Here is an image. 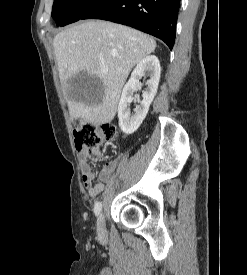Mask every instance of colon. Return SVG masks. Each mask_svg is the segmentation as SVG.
Masks as SVG:
<instances>
[{
  "label": "colon",
  "instance_id": "5ec220e1",
  "mask_svg": "<svg viewBox=\"0 0 247 275\" xmlns=\"http://www.w3.org/2000/svg\"><path fill=\"white\" fill-rule=\"evenodd\" d=\"M116 137L117 129L112 124L83 123L74 130L76 148L86 152L92 160L100 157L98 149L103 141H113Z\"/></svg>",
  "mask_w": 247,
  "mask_h": 275
}]
</instances>
